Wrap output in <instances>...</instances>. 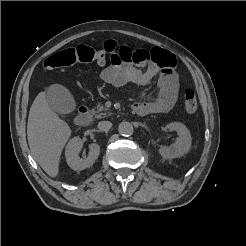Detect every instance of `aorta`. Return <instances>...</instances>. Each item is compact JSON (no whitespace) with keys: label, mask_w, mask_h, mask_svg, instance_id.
Here are the masks:
<instances>
[{"label":"aorta","mask_w":246,"mask_h":246,"mask_svg":"<svg viewBox=\"0 0 246 246\" xmlns=\"http://www.w3.org/2000/svg\"><path fill=\"white\" fill-rule=\"evenodd\" d=\"M118 131L122 136H130L133 134V126L130 122H121L118 126Z\"/></svg>","instance_id":"obj_1"}]
</instances>
